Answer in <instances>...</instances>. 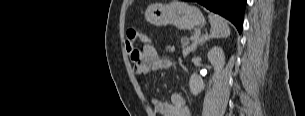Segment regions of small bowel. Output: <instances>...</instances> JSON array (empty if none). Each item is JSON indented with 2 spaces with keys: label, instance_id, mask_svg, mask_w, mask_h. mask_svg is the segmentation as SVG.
Masks as SVG:
<instances>
[{
  "label": "small bowel",
  "instance_id": "1",
  "mask_svg": "<svg viewBox=\"0 0 305 116\" xmlns=\"http://www.w3.org/2000/svg\"><path fill=\"white\" fill-rule=\"evenodd\" d=\"M132 61L134 63L133 71L138 76L146 75L150 71L165 70L172 66V62L169 59L161 58L156 47L148 41ZM149 101L155 114L161 116H191V111L184 97L179 93H173L169 101H162L154 97H151Z\"/></svg>",
  "mask_w": 305,
  "mask_h": 116
}]
</instances>
